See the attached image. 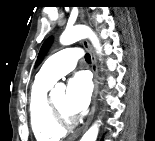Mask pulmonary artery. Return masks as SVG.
I'll use <instances>...</instances> for the list:
<instances>
[{
	"label": "pulmonary artery",
	"instance_id": "e3ab8cb5",
	"mask_svg": "<svg viewBox=\"0 0 155 141\" xmlns=\"http://www.w3.org/2000/svg\"><path fill=\"white\" fill-rule=\"evenodd\" d=\"M82 52L77 47H67L52 55L40 72L37 78L55 82L62 76L69 73L75 66Z\"/></svg>",
	"mask_w": 155,
	"mask_h": 141
}]
</instances>
